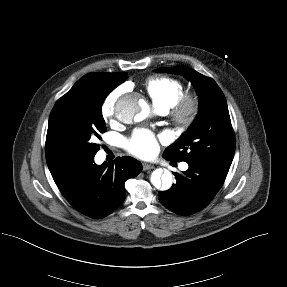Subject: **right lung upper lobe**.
<instances>
[{
  "mask_svg": "<svg viewBox=\"0 0 287 287\" xmlns=\"http://www.w3.org/2000/svg\"><path fill=\"white\" fill-rule=\"evenodd\" d=\"M127 74L124 72H117V73H90L83 76L81 79L78 80L76 84L83 83L88 80L97 79L105 85L110 86L111 88L115 89L118 85H120L126 79ZM48 167L51 172V175L54 181L60 179L68 170L69 168L56 166L51 162H48Z\"/></svg>",
  "mask_w": 287,
  "mask_h": 287,
  "instance_id": "right-lung-upper-lobe-1",
  "label": "right lung upper lobe"
}]
</instances>
